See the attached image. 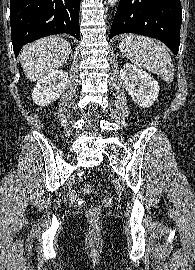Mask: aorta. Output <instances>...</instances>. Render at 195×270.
Returning <instances> with one entry per match:
<instances>
[{
  "label": "aorta",
  "instance_id": "aorta-1",
  "mask_svg": "<svg viewBox=\"0 0 195 270\" xmlns=\"http://www.w3.org/2000/svg\"><path fill=\"white\" fill-rule=\"evenodd\" d=\"M119 0H107L110 6H115Z\"/></svg>",
  "mask_w": 195,
  "mask_h": 270
}]
</instances>
